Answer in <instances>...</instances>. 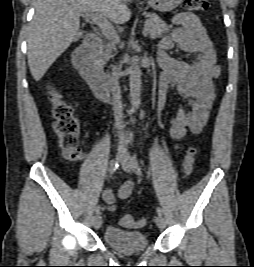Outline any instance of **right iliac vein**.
<instances>
[{"instance_id": "63e3f726", "label": "right iliac vein", "mask_w": 254, "mask_h": 267, "mask_svg": "<svg viewBox=\"0 0 254 267\" xmlns=\"http://www.w3.org/2000/svg\"><path fill=\"white\" fill-rule=\"evenodd\" d=\"M122 152L123 150H118V153H117V159H120L121 155H122ZM102 225V218L100 215H96L94 218H93V226L94 228L96 229H99Z\"/></svg>"}]
</instances>
